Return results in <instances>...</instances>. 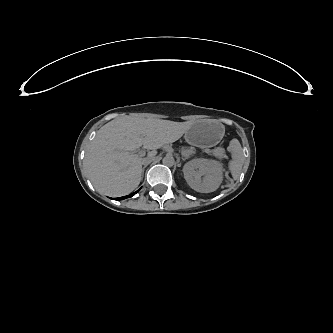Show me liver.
Wrapping results in <instances>:
<instances>
[{"label":"liver","mask_w":333,"mask_h":333,"mask_svg":"<svg viewBox=\"0 0 333 333\" xmlns=\"http://www.w3.org/2000/svg\"><path fill=\"white\" fill-rule=\"evenodd\" d=\"M182 133H152L138 136L96 137L88 146L85 165L93 186L107 194H127L138 187L142 175V160L136 151L142 145L153 150L145 158H152L155 150L178 140Z\"/></svg>","instance_id":"liver-1"}]
</instances>
